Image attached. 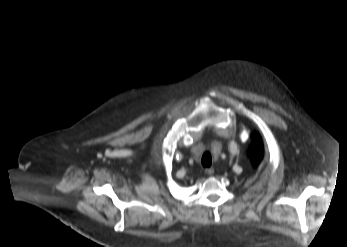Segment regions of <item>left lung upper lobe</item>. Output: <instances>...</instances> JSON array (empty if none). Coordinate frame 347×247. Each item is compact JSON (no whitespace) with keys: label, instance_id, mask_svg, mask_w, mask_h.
I'll return each instance as SVG.
<instances>
[{"label":"left lung upper lobe","instance_id":"obj_1","mask_svg":"<svg viewBox=\"0 0 347 247\" xmlns=\"http://www.w3.org/2000/svg\"><path fill=\"white\" fill-rule=\"evenodd\" d=\"M252 161L254 165H258L263 156V146L259 136L253 138V146L251 148Z\"/></svg>","mask_w":347,"mask_h":247}]
</instances>
